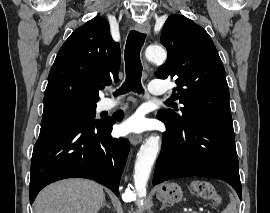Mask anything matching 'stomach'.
Listing matches in <instances>:
<instances>
[{
    "label": "stomach",
    "instance_id": "0dacf381",
    "mask_svg": "<svg viewBox=\"0 0 270 213\" xmlns=\"http://www.w3.org/2000/svg\"><path fill=\"white\" fill-rule=\"evenodd\" d=\"M183 192L176 183H166L157 190V198L164 202L174 204L182 200Z\"/></svg>",
    "mask_w": 270,
    "mask_h": 213
}]
</instances>
